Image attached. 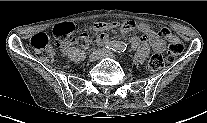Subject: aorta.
I'll use <instances>...</instances> for the list:
<instances>
[{"instance_id":"1","label":"aorta","mask_w":207,"mask_h":123,"mask_svg":"<svg viewBox=\"0 0 207 123\" xmlns=\"http://www.w3.org/2000/svg\"><path fill=\"white\" fill-rule=\"evenodd\" d=\"M119 48H120V49H123V48H124V45H123V44H121V45L119 46Z\"/></svg>"}]
</instances>
